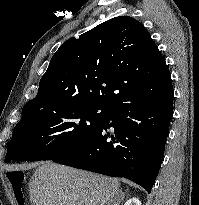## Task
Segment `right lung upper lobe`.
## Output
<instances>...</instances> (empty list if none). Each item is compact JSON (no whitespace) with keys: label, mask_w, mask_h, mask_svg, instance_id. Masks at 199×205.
Returning <instances> with one entry per match:
<instances>
[{"label":"right lung upper lobe","mask_w":199,"mask_h":205,"mask_svg":"<svg viewBox=\"0 0 199 205\" xmlns=\"http://www.w3.org/2000/svg\"><path fill=\"white\" fill-rule=\"evenodd\" d=\"M166 73V61L145 27L119 16L65 41L24 107L66 102L109 109Z\"/></svg>","instance_id":"right-lung-upper-lobe-1"}]
</instances>
